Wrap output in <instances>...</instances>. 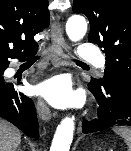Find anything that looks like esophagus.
I'll list each match as a JSON object with an SVG mask.
<instances>
[{"mask_svg":"<svg viewBox=\"0 0 131 151\" xmlns=\"http://www.w3.org/2000/svg\"><path fill=\"white\" fill-rule=\"evenodd\" d=\"M60 16L57 15V21L53 22L51 25V37H52V50L54 53V60L56 62V65L62 64L63 62H66V43L63 36V30L61 23L59 21ZM36 108L39 117L43 121H48L51 119V110L49 106L45 103V101L41 98H39L36 102Z\"/></svg>","mask_w":131,"mask_h":151,"instance_id":"esophagus-1","label":"esophagus"}]
</instances>
